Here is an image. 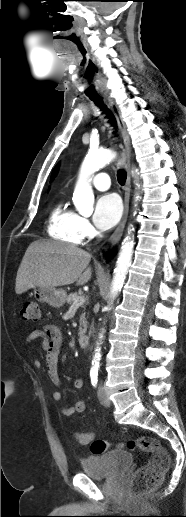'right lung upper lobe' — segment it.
Instances as JSON below:
<instances>
[{
    "label": "right lung upper lobe",
    "instance_id": "right-lung-upper-lobe-1",
    "mask_svg": "<svg viewBox=\"0 0 186 517\" xmlns=\"http://www.w3.org/2000/svg\"><path fill=\"white\" fill-rule=\"evenodd\" d=\"M57 171H58V165H56L55 168L53 169V172H52V175H51V180L56 176Z\"/></svg>",
    "mask_w": 186,
    "mask_h": 517
}]
</instances>
